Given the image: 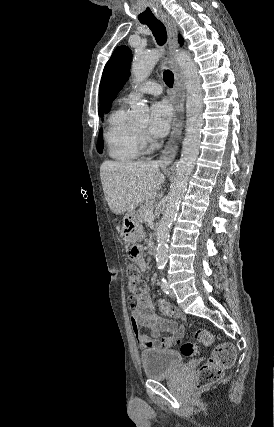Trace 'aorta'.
Here are the masks:
<instances>
[{"label":"aorta","instance_id":"aorta-1","mask_svg":"<svg viewBox=\"0 0 274 427\" xmlns=\"http://www.w3.org/2000/svg\"><path fill=\"white\" fill-rule=\"evenodd\" d=\"M161 55V52L156 49L136 55L131 69L135 88L146 80ZM174 57L185 78L187 92L186 125L181 158L176 166V177L170 190L166 210L156 232L158 242L156 262L159 270H163L168 261L170 226L176 219L181 198L186 191L189 177L195 166L203 126L202 88L197 65L186 51L176 52ZM131 115L135 120H143L148 116V107L137 102L132 107Z\"/></svg>","mask_w":274,"mask_h":427}]
</instances>
